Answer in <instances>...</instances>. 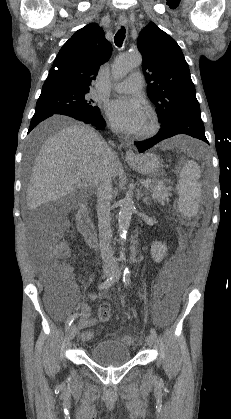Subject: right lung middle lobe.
Here are the masks:
<instances>
[{"instance_id":"1","label":"right lung middle lobe","mask_w":231,"mask_h":419,"mask_svg":"<svg viewBox=\"0 0 231 419\" xmlns=\"http://www.w3.org/2000/svg\"><path fill=\"white\" fill-rule=\"evenodd\" d=\"M88 89L64 85L43 86L36 104V112L67 115L73 118H90L100 114L98 107L88 98Z\"/></svg>"}]
</instances>
